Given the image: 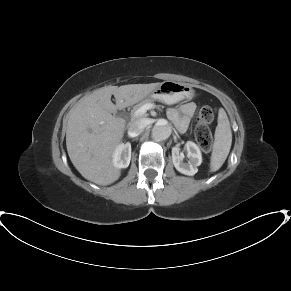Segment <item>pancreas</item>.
I'll return each mask as SVG.
<instances>
[{"label":"pancreas","instance_id":"pancreas-1","mask_svg":"<svg viewBox=\"0 0 291 291\" xmlns=\"http://www.w3.org/2000/svg\"><path fill=\"white\" fill-rule=\"evenodd\" d=\"M153 101H154V98H152V97H149V98H146V99L142 100L141 102H139L138 104H136L135 106H133V112H135L141 106H143L145 104H148V103H151Z\"/></svg>","mask_w":291,"mask_h":291}]
</instances>
